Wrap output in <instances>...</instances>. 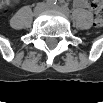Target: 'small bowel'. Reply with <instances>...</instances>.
Here are the masks:
<instances>
[{"label":"small bowel","instance_id":"obj_1","mask_svg":"<svg viewBox=\"0 0 103 103\" xmlns=\"http://www.w3.org/2000/svg\"><path fill=\"white\" fill-rule=\"evenodd\" d=\"M5 4H7V3H5ZM75 5L77 7H83V8L89 7V4L87 3V1H84V0H77V1H75Z\"/></svg>","mask_w":103,"mask_h":103}]
</instances>
